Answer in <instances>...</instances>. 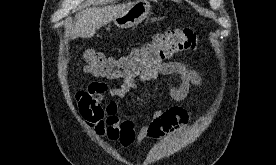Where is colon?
Masks as SVG:
<instances>
[{
  "instance_id": "1",
  "label": "colon",
  "mask_w": 276,
  "mask_h": 165,
  "mask_svg": "<svg viewBox=\"0 0 276 165\" xmlns=\"http://www.w3.org/2000/svg\"><path fill=\"white\" fill-rule=\"evenodd\" d=\"M197 40L195 30L176 28L154 35L148 43L121 57L88 50L84 54L85 69L93 76L111 80L138 79L151 74L173 54L194 50Z\"/></svg>"
}]
</instances>
